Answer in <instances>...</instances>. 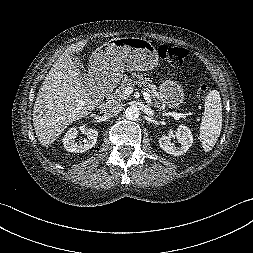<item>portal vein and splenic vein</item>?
Returning a JSON list of instances; mask_svg holds the SVG:
<instances>
[{"mask_svg": "<svg viewBox=\"0 0 253 253\" xmlns=\"http://www.w3.org/2000/svg\"><path fill=\"white\" fill-rule=\"evenodd\" d=\"M134 91V88L132 86H128L126 89H125V94L127 95H130L132 94ZM142 95L144 97V99L147 101V103L149 105H153L152 101H151V98H150V95L147 93V92H144L142 91ZM172 117H174L175 119H179V118H186V115L187 114H182V113H177V112H173L170 114Z\"/></svg>", "mask_w": 253, "mask_h": 253, "instance_id": "portal-vein-and-splenic-vein-1", "label": "portal vein and splenic vein"}]
</instances>
